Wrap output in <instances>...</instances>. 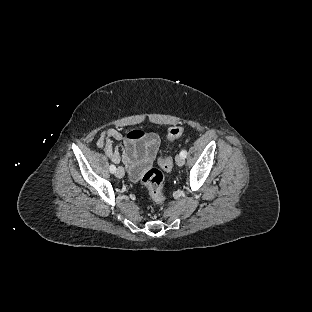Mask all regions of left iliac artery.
<instances>
[{
	"label": "left iliac artery",
	"mask_w": 312,
	"mask_h": 312,
	"mask_svg": "<svg viewBox=\"0 0 312 312\" xmlns=\"http://www.w3.org/2000/svg\"><path fill=\"white\" fill-rule=\"evenodd\" d=\"M180 155H181L183 158H186V156H187V151H186V150H182V151L180 152Z\"/></svg>",
	"instance_id": "left-iliac-artery-1"
}]
</instances>
